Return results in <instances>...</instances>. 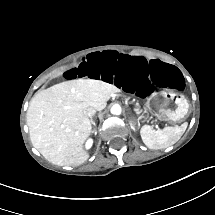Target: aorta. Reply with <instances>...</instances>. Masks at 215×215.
<instances>
[{
    "label": "aorta",
    "mask_w": 215,
    "mask_h": 215,
    "mask_svg": "<svg viewBox=\"0 0 215 215\" xmlns=\"http://www.w3.org/2000/svg\"><path fill=\"white\" fill-rule=\"evenodd\" d=\"M110 112L113 115H120L121 114V106L119 104H114L111 109Z\"/></svg>",
    "instance_id": "762f6f07"
}]
</instances>
